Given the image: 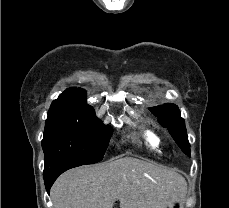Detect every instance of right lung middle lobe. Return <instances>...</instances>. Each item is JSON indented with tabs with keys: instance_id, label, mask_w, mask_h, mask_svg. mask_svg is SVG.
<instances>
[{
	"instance_id": "obj_1",
	"label": "right lung middle lobe",
	"mask_w": 229,
	"mask_h": 208,
	"mask_svg": "<svg viewBox=\"0 0 229 208\" xmlns=\"http://www.w3.org/2000/svg\"><path fill=\"white\" fill-rule=\"evenodd\" d=\"M113 129L99 119L72 110L50 108L42 148L44 171L61 164H93L102 160Z\"/></svg>"
}]
</instances>
